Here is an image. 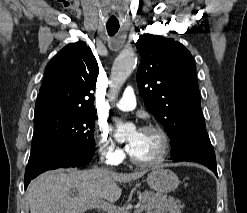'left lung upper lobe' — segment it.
<instances>
[{
  "label": "left lung upper lobe",
  "instance_id": "5c2ea615",
  "mask_svg": "<svg viewBox=\"0 0 247 213\" xmlns=\"http://www.w3.org/2000/svg\"><path fill=\"white\" fill-rule=\"evenodd\" d=\"M136 47L142 58L139 94L165 127L174 152L191 133L206 132L194 59L182 44L162 36L141 35Z\"/></svg>",
  "mask_w": 247,
  "mask_h": 213
}]
</instances>
